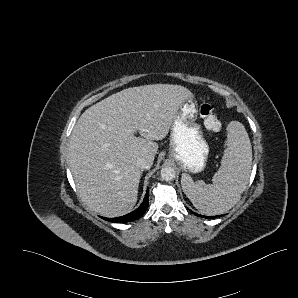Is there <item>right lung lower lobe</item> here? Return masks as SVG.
<instances>
[{"label": "right lung lower lobe", "instance_id": "98d812e1", "mask_svg": "<svg viewBox=\"0 0 298 298\" xmlns=\"http://www.w3.org/2000/svg\"><path fill=\"white\" fill-rule=\"evenodd\" d=\"M148 197H149V192L147 191L145 198H144L143 202L141 203V205L139 206V208H137L135 211H133L127 215H124L121 217H116V218H104V217H102V218L107 221H110V222H118V223H125V222H130V221L136 220V219L140 218L145 213V211L149 205Z\"/></svg>", "mask_w": 298, "mask_h": 298}]
</instances>
